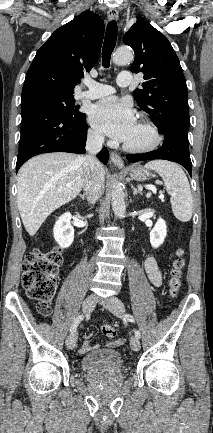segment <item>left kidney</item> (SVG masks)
<instances>
[{"label":"left kidney","mask_w":213,"mask_h":433,"mask_svg":"<svg viewBox=\"0 0 213 433\" xmlns=\"http://www.w3.org/2000/svg\"><path fill=\"white\" fill-rule=\"evenodd\" d=\"M166 235H167L166 222L162 218H159L154 228L150 232V243L152 247L158 248L160 245H162Z\"/></svg>","instance_id":"1"}]
</instances>
